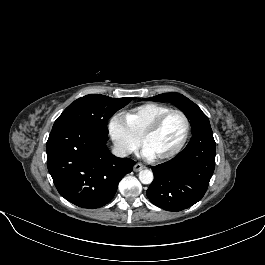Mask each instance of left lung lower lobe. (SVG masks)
<instances>
[{
    "label": "left lung lower lobe",
    "instance_id": "left-lung-lower-lobe-1",
    "mask_svg": "<svg viewBox=\"0 0 265 265\" xmlns=\"http://www.w3.org/2000/svg\"><path fill=\"white\" fill-rule=\"evenodd\" d=\"M216 147L210 127L192 132L188 145L173 159L152 166L154 180L146 194L156 206L181 211L197 203L206 193L215 169Z\"/></svg>",
    "mask_w": 265,
    "mask_h": 265
}]
</instances>
